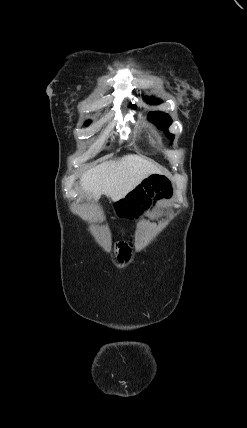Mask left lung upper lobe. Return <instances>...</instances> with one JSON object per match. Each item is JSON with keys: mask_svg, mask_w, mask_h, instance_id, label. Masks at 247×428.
<instances>
[{"mask_svg": "<svg viewBox=\"0 0 247 428\" xmlns=\"http://www.w3.org/2000/svg\"><path fill=\"white\" fill-rule=\"evenodd\" d=\"M147 102L149 104H153V103L159 104L160 100L159 99L154 100L153 97H150V98H148ZM148 119L150 121H152L153 123H155L160 129H163L164 132L166 133L167 137L169 139L173 140L174 135L170 134L167 130L169 125L172 123L171 118L167 114L161 113V112H150L148 114Z\"/></svg>", "mask_w": 247, "mask_h": 428, "instance_id": "obj_1", "label": "left lung upper lobe"}]
</instances>
